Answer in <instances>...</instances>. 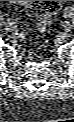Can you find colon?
I'll list each match as a JSON object with an SVG mask.
<instances>
[{
	"label": "colon",
	"instance_id": "colon-1",
	"mask_svg": "<svg viewBox=\"0 0 74 122\" xmlns=\"http://www.w3.org/2000/svg\"><path fill=\"white\" fill-rule=\"evenodd\" d=\"M55 10V3L50 2L46 8H43L41 12L51 13ZM40 29H43L42 24H40Z\"/></svg>",
	"mask_w": 74,
	"mask_h": 122
}]
</instances>
